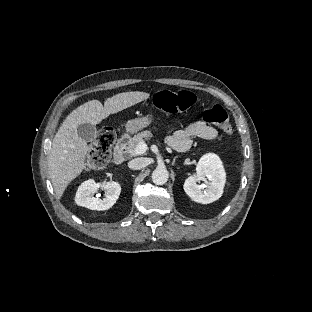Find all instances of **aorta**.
<instances>
[{"instance_id": "aorta-1", "label": "aorta", "mask_w": 312, "mask_h": 312, "mask_svg": "<svg viewBox=\"0 0 312 312\" xmlns=\"http://www.w3.org/2000/svg\"><path fill=\"white\" fill-rule=\"evenodd\" d=\"M169 173L165 167H157L152 173V181L156 185H163L167 182Z\"/></svg>"}]
</instances>
